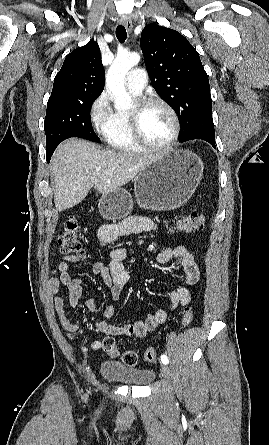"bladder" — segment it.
Returning <instances> with one entry per match:
<instances>
[{"instance_id": "bladder-1", "label": "bladder", "mask_w": 269, "mask_h": 445, "mask_svg": "<svg viewBox=\"0 0 269 445\" xmlns=\"http://www.w3.org/2000/svg\"><path fill=\"white\" fill-rule=\"evenodd\" d=\"M100 374L104 379L137 387L149 385L155 377L151 369L132 368L116 360L104 361Z\"/></svg>"}]
</instances>
